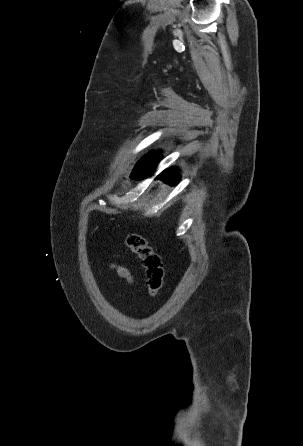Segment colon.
Masks as SVG:
<instances>
[{"label":"colon","mask_w":303,"mask_h":446,"mask_svg":"<svg viewBox=\"0 0 303 446\" xmlns=\"http://www.w3.org/2000/svg\"><path fill=\"white\" fill-rule=\"evenodd\" d=\"M126 245L140 259L145 271L148 293L150 297L154 298L163 285L164 267L161 256L150 246L147 239L140 234H128Z\"/></svg>","instance_id":"1"}]
</instances>
